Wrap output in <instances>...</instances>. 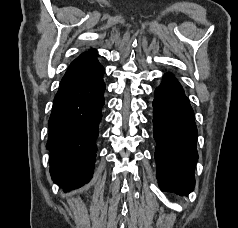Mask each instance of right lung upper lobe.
<instances>
[{
    "mask_svg": "<svg viewBox=\"0 0 238 228\" xmlns=\"http://www.w3.org/2000/svg\"><path fill=\"white\" fill-rule=\"evenodd\" d=\"M96 55L95 50H90L77 57L62 78L60 87L87 82L104 73Z\"/></svg>",
    "mask_w": 238,
    "mask_h": 228,
    "instance_id": "obj_1",
    "label": "right lung upper lobe"
}]
</instances>
